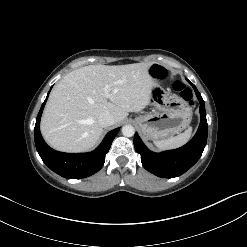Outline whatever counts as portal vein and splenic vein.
<instances>
[{"label": "portal vein and splenic vein", "instance_id": "18ae733b", "mask_svg": "<svg viewBox=\"0 0 247 247\" xmlns=\"http://www.w3.org/2000/svg\"><path fill=\"white\" fill-rule=\"evenodd\" d=\"M109 88H110V85L105 86V95L107 98L109 97Z\"/></svg>", "mask_w": 247, "mask_h": 247}]
</instances>
